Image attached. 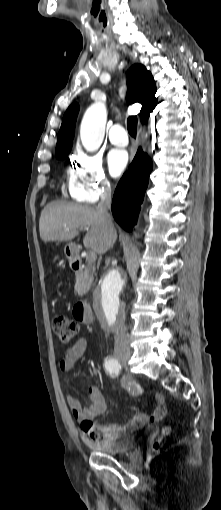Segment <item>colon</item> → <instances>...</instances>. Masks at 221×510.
Here are the masks:
<instances>
[{
  "instance_id": "colon-1",
  "label": "colon",
  "mask_w": 221,
  "mask_h": 510,
  "mask_svg": "<svg viewBox=\"0 0 221 510\" xmlns=\"http://www.w3.org/2000/svg\"><path fill=\"white\" fill-rule=\"evenodd\" d=\"M52 329L59 338V340L64 344L71 343L76 337L79 327L78 323L74 320H71L63 315H58L52 320ZM171 431L170 427H166L163 430L164 435H168ZM102 439L101 436H98L97 442H100ZM160 444L158 442L154 443L153 448L157 450Z\"/></svg>"
}]
</instances>
